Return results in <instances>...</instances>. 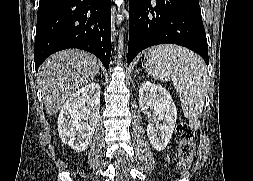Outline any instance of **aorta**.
<instances>
[{
  "mask_svg": "<svg viewBox=\"0 0 253 181\" xmlns=\"http://www.w3.org/2000/svg\"><path fill=\"white\" fill-rule=\"evenodd\" d=\"M123 28L121 29V33L119 35V40H118V58H122V53H123V47H124V38L122 34Z\"/></svg>",
  "mask_w": 253,
  "mask_h": 181,
  "instance_id": "aorta-1",
  "label": "aorta"
}]
</instances>
